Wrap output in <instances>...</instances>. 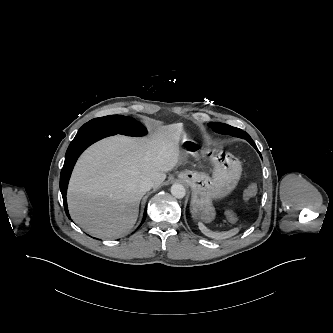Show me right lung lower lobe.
Listing matches in <instances>:
<instances>
[{"label": "right lung lower lobe", "mask_w": 333, "mask_h": 333, "mask_svg": "<svg viewBox=\"0 0 333 333\" xmlns=\"http://www.w3.org/2000/svg\"><path fill=\"white\" fill-rule=\"evenodd\" d=\"M116 132L114 131H108V130H101V129H94L90 131H84V132H78L73 141L70 143L66 156H65V162L64 166L61 171L60 175V190L62 193L63 201H64V207L67 216L69 217L68 209H67V203H66V190H67V184L69 181V177L71 174V171L73 169V166L79 157V155L92 143L110 136L114 135ZM70 218V217H69ZM146 218V209L144 212L142 223L145 221ZM141 223V224H142Z\"/></svg>", "instance_id": "obj_1"}]
</instances>
